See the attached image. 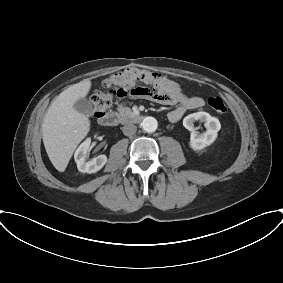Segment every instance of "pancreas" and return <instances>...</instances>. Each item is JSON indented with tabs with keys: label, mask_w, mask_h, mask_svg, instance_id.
<instances>
[{
	"label": "pancreas",
	"mask_w": 283,
	"mask_h": 283,
	"mask_svg": "<svg viewBox=\"0 0 283 283\" xmlns=\"http://www.w3.org/2000/svg\"><path fill=\"white\" fill-rule=\"evenodd\" d=\"M117 111L123 117L132 115L131 109L129 107H124L123 105H119Z\"/></svg>",
	"instance_id": "obj_1"
}]
</instances>
